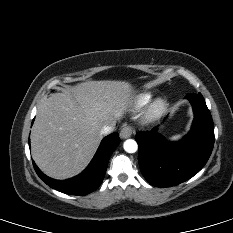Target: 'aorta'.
<instances>
[{
	"instance_id": "1",
	"label": "aorta",
	"mask_w": 233,
	"mask_h": 233,
	"mask_svg": "<svg viewBox=\"0 0 233 233\" xmlns=\"http://www.w3.org/2000/svg\"><path fill=\"white\" fill-rule=\"evenodd\" d=\"M123 148L128 153H135L138 150V145L135 140L128 139L124 142Z\"/></svg>"
}]
</instances>
